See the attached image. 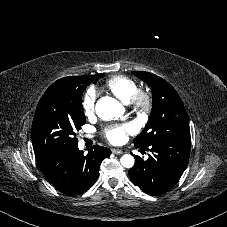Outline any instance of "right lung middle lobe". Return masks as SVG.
<instances>
[{
    "label": "right lung middle lobe",
    "instance_id": "right-lung-middle-lobe-1",
    "mask_svg": "<svg viewBox=\"0 0 227 227\" xmlns=\"http://www.w3.org/2000/svg\"><path fill=\"white\" fill-rule=\"evenodd\" d=\"M99 76H80L79 82L49 87L40 99L32 125L35 155L49 149L78 144L76 130L86 123L81 98Z\"/></svg>",
    "mask_w": 227,
    "mask_h": 227
}]
</instances>
